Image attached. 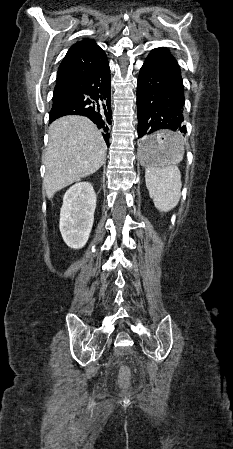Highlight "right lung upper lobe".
I'll return each instance as SVG.
<instances>
[{
  "mask_svg": "<svg viewBox=\"0 0 233 449\" xmlns=\"http://www.w3.org/2000/svg\"><path fill=\"white\" fill-rule=\"evenodd\" d=\"M106 61L105 52L94 40L84 39L75 43L68 50L58 68L57 83L54 90H61L80 80Z\"/></svg>",
  "mask_w": 233,
  "mask_h": 449,
  "instance_id": "obj_1",
  "label": "right lung upper lobe"
}]
</instances>
